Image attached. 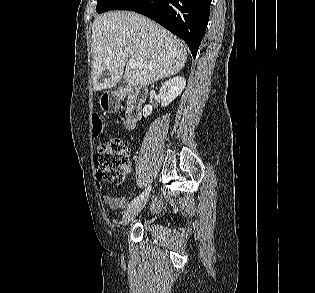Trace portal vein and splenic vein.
<instances>
[{"label": "portal vein and splenic vein", "instance_id": "1", "mask_svg": "<svg viewBox=\"0 0 315 293\" xmlns=\"http://www.w3.org/2000/svg\"><path fill=\"white\" fill-rule=\"evenodd\" d=\"M128 65L130 67H134V66L138 65V63H136L134 59H129L128 60ZM140 66H143V65L140 64Z\"/></svg>", "mask_w": 315, "mask_h": 293}]
</instances>
